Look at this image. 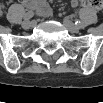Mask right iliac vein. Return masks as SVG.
Returning <instances> with one entry per match:
<instances>
[{"label":"right iliac vein","mask_w":103,"mask_h":103,"mask_svg":"<svg viewBox=\"0 0 103 103\" xmlns=\"http://www.w3.org/2000/svg\"><path fill=\"white\" fill-rule=\"evenodd\" d=\"M33 26V22L29 21V20H25L23 23H22V27L24 29H29L30 27Z\"/></svg>","instance_id":"obj_1"}]
</instances>
